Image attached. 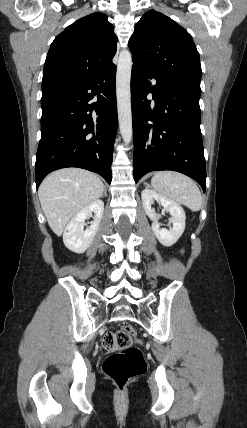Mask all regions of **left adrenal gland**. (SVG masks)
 <instances>
[{
  "label": "left adrenal gland",
  "mask_w": 247,
  "mask_h": 428,
  "mask_svg": "<svg viewBox=\"0 0 247 428\" xmlns=\"http://www.w3.org/2000/svg\"><path fill=\"white\" fill-rule=\"evenodd\" d=\"M144 184L147 186V187H150V185H149V183H147V182H144Z\"/></svg>",
  "instance_id": "left-adrenal-gland-1"
}]
</instances>
